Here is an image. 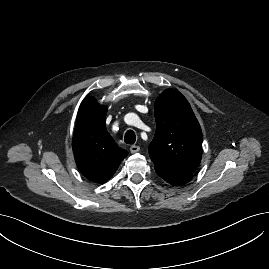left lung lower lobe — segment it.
Returning <instances> with one entry per match:
<instances>
[{"mask_svg":"<svg viewBox=\"0 0 269 269\" xmlns=\"http://www.w3.org/2000/svg\"><path fill=\"white\" fill-rule=\"evenodd\" d=\"M155 171L162 179L174 186L183 185L190 181L193 177L192 174L170 173L160 170Z\"/></svg>","mask_w":269,"mask_h":269,"instance_id":"1","label":"left lung lower lobe"}]
</instances>
